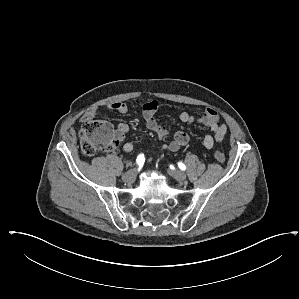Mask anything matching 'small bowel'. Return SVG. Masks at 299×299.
<instances>
[{
    "label": "small bowel",
    "mask_w": 299,
    "mask_h": 299,
    "mask_svg": "<svg viewBox=\"0 0 299 299\" xmlns=\"http://www.w3.org/2000/svg\"><path fill=\"white\" fill-rule=\"evenodd\" d=\"M161 107L160 101H150L142 105V112L146 122V126L158 138L162 139L168 135V129L156 120V112ZM109 110L124 114L128 111V107L124 102H114L107 106ZM199 114H194L189 110H183L180 113V120L188 124H199L209 128L212 134H207L203 139V144L207 149H211L216 142H221L227 133V126L221 123L219 113L212 108L200 109ZM98 113V108L93 107L87 110L83 116L82 121L86 122L93 119ZM130 127L127 123H120L117 126V140L123 141ZM189 142V136L183 131H178L174 134L172 140L163 146V151H178L181 147ZM134 146L130 142L123 145V150L131 153Z\"/></svg>",
    "instance_id": "small-bowel-1"
}]
</instances>
